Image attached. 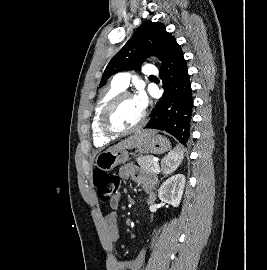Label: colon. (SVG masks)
<instances>
[{
    "label": "colon",
    "instance_id": "obj_1",
    "mask_svg": "<svg viewBox=\"0 0 267 270\" xmlns=\"http://www.w3.org/2000/svg\"><path fill=\"white\" fill-rule=\"evenodd\" d=\"M93 183L101 202L107 203L118 195L120 179L102 170H96L93 174Z\"/></svg>",
    "mask_w": 267,
    "mask_h": 270
}]
</instances>
